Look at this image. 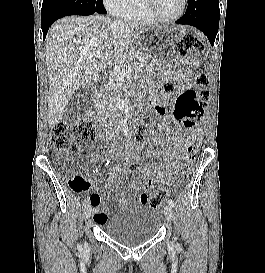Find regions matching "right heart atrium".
Wrapping results in <instances>:
<instances>
[{"label":"right heart atrium","instance_id":"obj_1","mask_svg":"<svg viewBox=\"0 0 265 273\" xmlns=\"http://www.w3.org/2000/svg\"><path fill=\"white\" fill-rule=\"evenodd\" d=\"M132 0H103L105 8L114 15L121 16L131 5Z\"/></svg>","mask_w":265,"mask_h":273}]
</instances>
